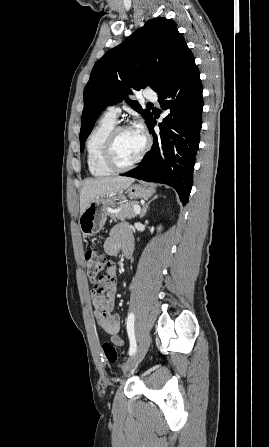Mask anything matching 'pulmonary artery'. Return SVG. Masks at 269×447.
I'll list each match as a JSON object with an SVG mask.
<instances>
[{"label":"pulmonary artery","mask_w":269,"mask_h":447,"mask_svg":"<svg viewBox=\"0 0 269 447\" xmlns=\"http://www.w3.org/2000/svg\"><path fill=\"white\" fill-rule=\"evenodd\" d=\"M144 97L146 99H156L157 98V91L156 90H146L144 92ZM121 110L119 105L114 104L107 107L105 111V115L116 120L118 118V115L120 114Z\"/></svg>","instance_id":"1"}]
</instances>
